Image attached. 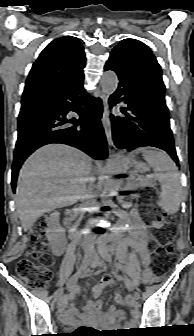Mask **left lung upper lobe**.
Returning a JSON list of instances; mask_svg holds the SVG:
<instances>
[{"label": "left lung upper lobe", "instance_id": "left-lung-upper-lobe-1", "mask_svg": "<svg viewBox=\"0 0 194 336\" xmlns=\"http://www.w3.org/2000/svg\"><path fill=\"white\" fill-rule=\"evenodd\" d=\"M123 64L156 96L165 100L162 72L151 50L141 41L124 39L114 49Z\"/></svg>", "mask_w": 194, "mask_h": 336}]
</instances>
